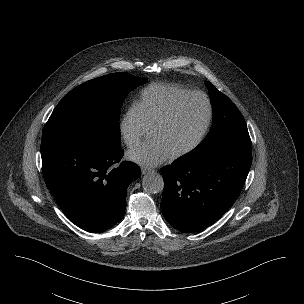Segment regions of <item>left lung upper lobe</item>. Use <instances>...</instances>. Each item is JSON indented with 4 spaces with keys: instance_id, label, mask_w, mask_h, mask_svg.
<instances>
[{
    "instance_id": "1",
    "label": "left lung upper lobe",
    "mask_w": 304,
    "mask_h": 304,
    "mask_svg": "<svg viewBox=\"0 0 304 304\" xmlns=\"http://www.w3.org/2000/svg\"><path fill=\"white\" fill-rule=\"evenodd\" d=\"M213 107V125L206 138L191 152L183 156L196 160L227 147H251L246 122L234 105L213 84L206 82Z\"/></svg>"
}]
</instances>
